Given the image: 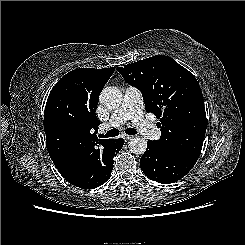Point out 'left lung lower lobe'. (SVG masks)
<instances>
[{
    "mask_svg": "<svg viewBox=\"0 0 245 245\" xmlns=\"http://www.w3.org/2000/svg\"><path fill=\"white\" fill-rule=\"evenodd\" d=\"M198 158L199 155L189 152L166 151L156 141L149 140L140 167L150 179L169 184L183 178Z\"/></svg>",
    "mask_w": 245,
    "mask_h": 245,
    "instance_id": "1",
    "label": "left lung lower lobe"
}]
</instances>
